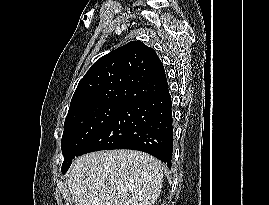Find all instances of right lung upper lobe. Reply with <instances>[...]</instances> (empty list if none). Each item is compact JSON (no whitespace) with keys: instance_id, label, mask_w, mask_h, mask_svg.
<instances>
[{"instance_id":"right-lung-upper-lobe-1","label":"right lung upper lobe","mask_w":269,"mask_h":205,"mask_svg":"<svg viewBox=\"0 0 269 205\" xmlns=\"http://www.w3.org/2000/svg\"><path fill=\"white\" fill-rule=\"evenodd\" d=\"M167 89L165 70L155 50L131 41L91 66L77 86L68 113L100 103L129 106Z\"/></svg>"}]
</instances>
